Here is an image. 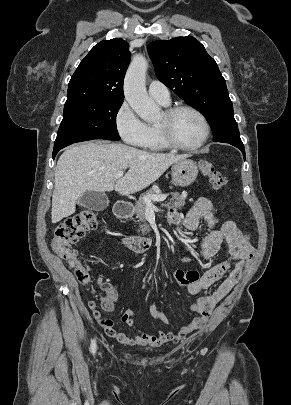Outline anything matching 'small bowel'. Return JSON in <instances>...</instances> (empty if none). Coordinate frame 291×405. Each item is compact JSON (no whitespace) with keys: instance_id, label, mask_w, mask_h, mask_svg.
Masks as SVG:
<instances>
[{"instance_id":"c3829d8e","label":"small bowel","mask_w":291,"mask_h":405,"mask_svg":"<svg viewBox=\"0 0 291 405\" xmlns=\"http://www.w3.org/2000/svg\"><path fill=\"white\" fill-rule=\"evenodd\" d=\"M168 216L172 223L181 225L187 231H195L199 227L201 218H204L209 228V233L200 239V256L206 259L211 258L226 244L232 257V261L213 266L196 282L188 285V293L196 295L201 291H206L227 272H229L228 277L220 284L215 292L212 294L205 293L196 303L192 304L191 310L197 313L198 316L189 325L181 328L178 332L159 331L155 335L144 333L136 326L134 320L135 312L133 310H127L121 316V321L134 331L132 336L129 337L125 333L115 330L111 320L102 319L96 303L90 301L89 308L92 310L94 318L98 320L108 336L121 344H150L159 346L167 342L177 343L183 340L188 334L202 328L206 324L215 305L239 282L243 266L254 254V248L249 235L242 233L233 222L228 221L220 228L216 227L218 214L215 205L207 198H198L184 218H181L174 209L169 211ZM180 260L189 262L190 258L185 255H180ZM105 292L107 294V304L103 305L104 309L106 311H112L114 303L118 300L117 289L113 285L107 284L105 285ZM149 312L152 317L168 324L167 316L158 309L156 301L150 304Z\"/></svg>"}]
</instances>
